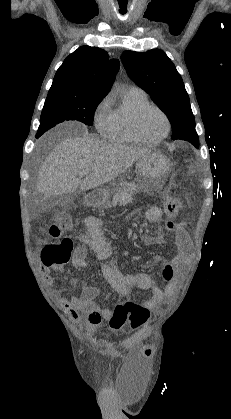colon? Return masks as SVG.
<instances>
[{
	"label": "colon",
	"mask_w": 231,
	"mask_h": 419,
	"mask_svg": "<svg viewBox=\"0 0 231 419\" xmlns=\"http://www.w3.org/2000/svg\"><path fill=\"white\" fill-rule=\"evenodd\" d=\"M164 213L167 218V226L170 230L176 228L175 219L180 213L181 202L175 196H168L164 201ZM73 227L72 220L69 215H61L49 227V235L53 239H59L65 232ZM73 242L69 238H62L56 242H52L43 247L41 252L42 262L46 266L61 265L69 261L72 251ZM161 280H174L175 273L172 263H163L160 273ZM99 307L95 310L99 313ZM148 318L146 309L132 302H121L115 306L108 319L109 327L114 331L123 329L127 322L131 327L136 329L141 327Z\"/></svg>",
	"instance_id": "obj_1"
}]
</instances>
